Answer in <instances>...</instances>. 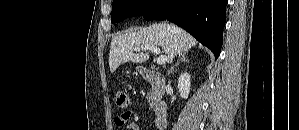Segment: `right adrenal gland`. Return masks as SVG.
<instances>
[{
	"instance_id": "right-adrenal-gland-1",
	"label": "right adrenal gland",
	"mask_w": 299,
	"mask_h": 130,
	"mask_svg": "<svg viewBox=\"0 0 299 130\" xmlns=\"http://www.w3.org/2000/svg\"><path fill=\"white\" fill-rule=\"evenodd\" d=\"M180 62H184V63H188V62H189V60H188L187 57H186V53H184V54L181 56L180 61L177 62V63H176V64L169 70L168 75L171 74V73L173 72L174 68L177 67V66L179 65Z\"/></svg>"
}]
</instances>
